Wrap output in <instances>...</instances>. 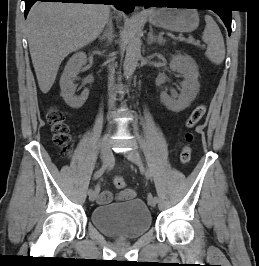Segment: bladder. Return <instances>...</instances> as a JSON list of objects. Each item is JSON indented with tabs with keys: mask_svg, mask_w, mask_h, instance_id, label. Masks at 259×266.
I'll list each match as a JSON object with an SVG mask.
<instances>
[{
	"mask_svg": "<svg viewBox=\"0 0 259 266\" xmlns=\"http://www.w3.org/2000/svg\"><path fill=\"white\" fill-rule=\"evenodd\" d=\"M90 219L101 233L119 239H137L152 226L151 212L139 198L97 206L92 210Z\"/></svg>",
	"mask_w": 259,
	"mask_h": 266,
	"instance_id": "obj_1",
	"label": "bladder"
}]
</instances>
